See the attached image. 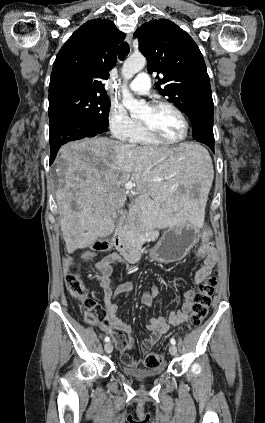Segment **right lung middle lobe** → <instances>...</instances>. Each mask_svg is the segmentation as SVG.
<instances>
[{"mask_svg": "<svg viewBox=\"0 0 265 423\" xmlns=\"http://www.w3.org/2000/svg\"><path fill=\"white\" fill-rule=\"evenodd\" d=\"M110 100L85 92H65L49 97V118L60 113L76 114L107 128Z\"/></svg>", "mask_w": 265, "mask_h": 423, "instance_id": "right-lung-middle-lobe-1", "label": "right lung middle lobe"}]
</instances>
